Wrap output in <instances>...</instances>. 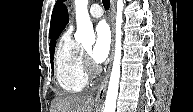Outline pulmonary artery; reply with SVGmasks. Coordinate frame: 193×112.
Returning a JSON list of instances; mask_svg holds the SVG:
<instances>
[{"mask_svg":"<svg viewBox=\"0 0 193 112\" xmlns=\"http://www.w3.org/2000/svg\"><path fill=\"white\" fill-rule=\"evenodd\" d=\"M89 14L92 18H100L103 15V10L100 5L93 4L90 7Z\"/></svg>","mask_w":193,"mask_h":112,"instance_id":"1","label":"pulmonary artery"}]
</instances>
